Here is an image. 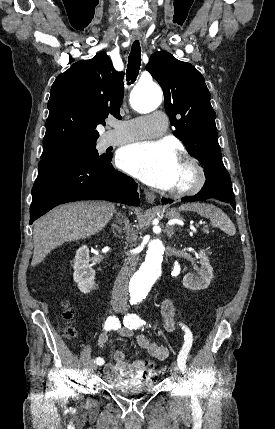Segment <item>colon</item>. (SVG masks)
Returning <instances> with one entry per match:
<instances>
[{
  "instance_id": "colon-1",
  "label": "colon",
  "mask_w": 275,
  "mask_h": 429,
  "mask_svg": "<svg viewBox=\"0 0 275 429\" xmlns=\"http://www.w3.org/2000/svg\"><path fill=\"white\" fill-rule=\"evenodd\" d=\"M64 307H65V312H64V318L67 321H71L72 318L74 317V312L73 310L69 307L68 302H64ZM65 335L68 338H73L76 335V330L73 326L69 325L65 328ZM146 376L148 378H156L157 374L155 371V366L153 363L148 362L147 366H146Z\"/></svg>"
}]
</instances>
